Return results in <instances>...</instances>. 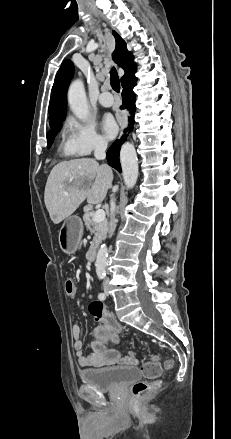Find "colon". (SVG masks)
Listing matches in <instances>:
<instances>
[{"label": "colon", "instance_id": "colon-1", "mask_svg": "<svg viewBox=\"0 0 231 439\" xmlns=\"http://www.w3.org/2000/svg\"><path fill=\"white\" fill-rule=\"evenodd\" d=\"M64 289L69 297H75L77 294V285L73 279L69 278L65 281ZM89 311L97 321L104 319L106 316V312L103 308L102 303L98 301L90 303ZM173 367V359H167L164 362V368L166 370H171ZM141 370L144 378L147 380L138 381L133 385L132 395L136 399L143 397L148 392L158 387L159 383L155 380L159 377L161 373L160 361L156 357L150 358L142 365Z\"/></svg>", "mask_w": 231, "mask_h": 439}]
</instances>
